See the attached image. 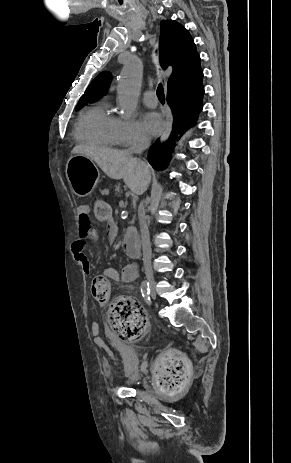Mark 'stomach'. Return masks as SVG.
I'll return each mask as SVG.
<instances>
[{
  "label": "stomach",
  "mask_w": 291,
  "mask_h": 463,
  "mask_svg": "<svg viewBox=\"0 0 291 463\" xmlns=\"http://www.w3.org/2000/svg\"><path fill=\"white\" fill-rule=\"evenodd\" d=\"M66 176L73 192L79 197H85L97 183V167L90 158L74 154L67 162Z\"/></svg>",
  "instance_id": "obj_1"
}]
</instances>
